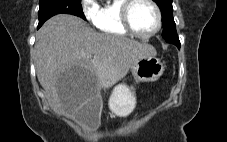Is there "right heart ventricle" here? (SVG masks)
Instances as JSON below:
<instances>
[{
	"label": "right heart ventricle",
	"mask_w": 227,
	"mask_h": 142,
	"mask_svg": "<svg viewBox=\"0 0 227 142\" xmlns=\"http://www.w3.org/2000/svg\"><path fill=\"white\" fill-rule=\"evenodd\" d=\"M124 0H112L99 8L95 26L104 34L113 36H127L129 33L124 29L120 9Z\"/></svg>",
	"instance_id": "obj_1"
}]
</instances>
